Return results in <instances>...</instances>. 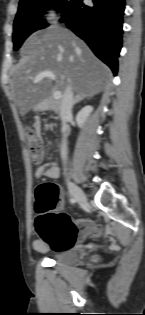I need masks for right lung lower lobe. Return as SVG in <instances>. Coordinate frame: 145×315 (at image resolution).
<instances>
[{"mask_svg":"<svg viewBox=\"0 0 145 315\" xmlns=\"http://www.w3.org/2000/svg\"><path fill=\"white\" fill-rule=\"evenodd\" d=\"M92 1L93 6H86L82 0H72L62 13L61 21L66 22L67 27L82 38L116 74L122 47L125 0Z\"/></svg>","mask_w":145,"mask_h":315,"instance_id":"1","label":"right lung lower lobe"}]
</instances>
